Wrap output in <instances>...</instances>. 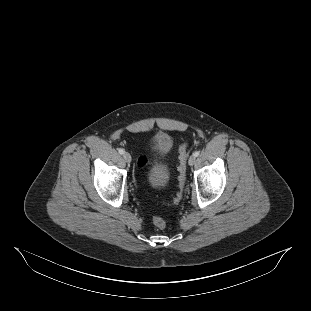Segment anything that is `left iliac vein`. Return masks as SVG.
<instances>
[{"mask_svg": "<svg viewBox=\"0 0 311 311\" xmlns=\"http://www.w3.org/2000/svg\"><path fill=\"white\" fill-rule=\"evenodd\" d=\"M196 162V157L194 155L190 156L188 163L190 166L194 165Z\"/></svg>", "mask_w": 311, "mask_h": 311, "instance_id": "4c4485c4", "label": "left iliac vein"}]
</instances>
